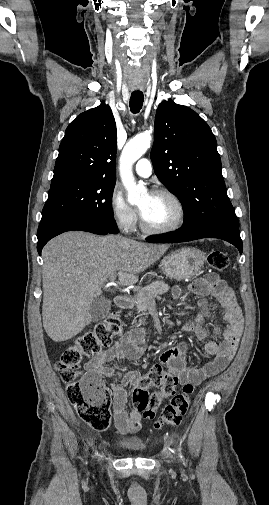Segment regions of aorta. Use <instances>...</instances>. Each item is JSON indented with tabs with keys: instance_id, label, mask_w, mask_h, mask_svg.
Listing matches in <instances>:
<instances>
[{
	"instance_id": "obj_1",
	"label": "aorta",
	"mask_w": 269,
	"mask_h": 505,
	"mask_svg": "<svg viewBox=\"0 0 269 505\" xmlns=\"http://www.w3.org/2000/svg\"><path fill=\"white\" fill-rule=\"evenodd\" d=\"M151 144L150 134H138L125 145L120 158V175L128 193V202L137 204L147 195V189L135 182L132 166Z\"/></svg>"
}]
</instances>
